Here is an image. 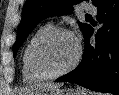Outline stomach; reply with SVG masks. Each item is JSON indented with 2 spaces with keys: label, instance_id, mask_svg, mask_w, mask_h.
Listing matches in <instances>:
<instances>
[{
  "label": "stomach",
  "instance_id": "obj_1",
  "mask_svg": "<svg viewBox=\"0 0 119 95\" xmlns=\"http://www.w3.org/2000/svg\"><path fill=\"white\" fill-rule=\"evenodd\" d=\"M27 95H86L84 92L72 88H52V89H38L30 92Z\"/></svg>",
  "mask_w": 119,
  "mask_h": 95
}]
</instances>
